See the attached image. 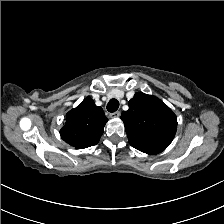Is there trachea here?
Listing matches in <instances>:
<instances>
[{
    "instance_id": "3493384b",
    "label": "trachea",
    "mask_w": 224,
    "mask_h": 224,
    "mask_svg": "<svg viewBox=\"0 0 224 224\" xmlns=\"http://www.w3.org/2000/svg\"><path fill=\"white\" fill-rule=\"evenodd\" d=\"M119 108V102L116 99H111L107 104V110L109 112H115Z\"/></svg>"
}]
</instances>
